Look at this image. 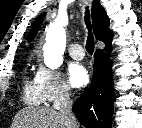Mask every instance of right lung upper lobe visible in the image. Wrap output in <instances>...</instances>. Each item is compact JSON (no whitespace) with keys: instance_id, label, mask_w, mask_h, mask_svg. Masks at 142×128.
Returning a JSON list of instances; mask_svg holds the SVG:
<instances>
[{"instance_id":"cb5924a9","label":"right lung upper lobe","mask_w":142,"mask_h":128,"mask_svg":"<svg viewBox=\"0 0 142 128\" xmlns=\"http://www.w3.org/2000/svg\"><path fill=\"white\" fill-rule=\"evenodd\" d=\"M41 22L42 16L38 17L32 26L28 35V41H31L34 38ZM92 24L96 38L103 41L106 46L109 45L113 35L109 30V18L99 0H94L92 4Z\"/></svg>"}]
</instances>
